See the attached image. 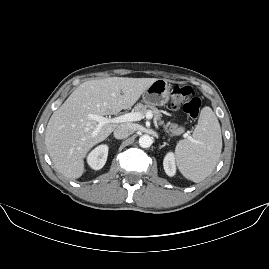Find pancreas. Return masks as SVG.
<instances>
[{"mask_svg":"<svg viewBox=\"0 0 269 269\" xmlns=\"http://www.w3.org/2000/svg\"><path fill=\"white\" fill-rule=\"evenodd\" d=\"M135 111L141 112L143 115H145L148 111H151L154 115V118L157 120L161 119L162 114L160 113V110H158L154 106H147L142 103H138L134 107ZM169 132L171 133V136L180 135L184 132V128L178 126L177 124H171V127L169 129Z\"/></svg>","mask_w":269,"mask_h":269,"instance_id":"1","label":"pancreas"}]
</instances>
